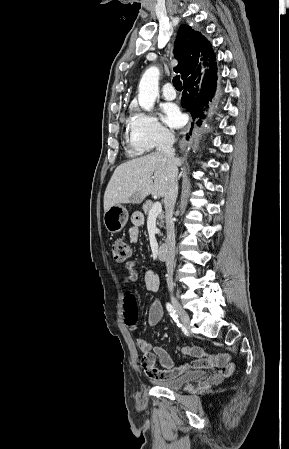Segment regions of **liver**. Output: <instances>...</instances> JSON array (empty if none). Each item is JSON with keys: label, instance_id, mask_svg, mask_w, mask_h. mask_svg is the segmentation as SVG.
<instances>
[{"label": "liver", "instance_id": "obj_1", "mask_svg": "<svg viewBox=\"0 0 289 449\" xmlns=\"http://www.w3.org/2000/svg\"><path fill=\"white\" fill-rule=\"evenodd\" d=\"M176 160L180 166L181 160ZM168 173L167 158L159 151L122 163L105 190L104 211L117 204H140L150 194L165 197Z\"/></svg>", "mask_w": 289, "mask_h": 449}]
</instances>
